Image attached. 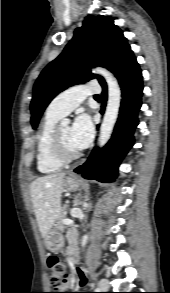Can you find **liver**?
<instances>
[{"mask_svg":"<svg viewBox=\"0 0 170 293\" xmlns=\"http://www.w3.org/2000/svg\"><path fill=\"white\" fill-rule=\"evenodd\" d=\"M65 173L42 176L30 185L34 213L43 238L51 230L61 210Z\"/></svg>","mask_w":170,"mask_h":293,"instance_id":"6515ba94","label":"liver"}]
</instances>
